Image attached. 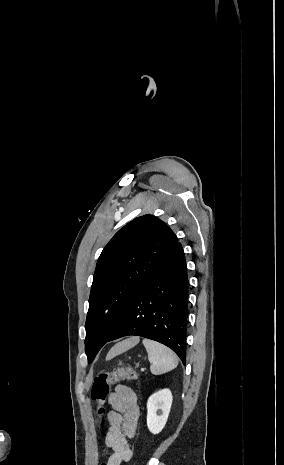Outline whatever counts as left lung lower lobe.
<instances>
[{"mask_svg":"<svg viewBox=\"0 0 284 465\" xmlns=\"http://www.w3.org/2000/svg\"><path fill=\"white\" fill-rule=\"evenodd\" d=\"M188 277L182 245L176 246L139 289L106 343L141 336L171 348L185 364Z\"/></svg>","mask_w":284,"mask_h":465,"instance_id":"left-lung-lower-lobe-1","label":"left lung lower lobe"}]
</instances>
